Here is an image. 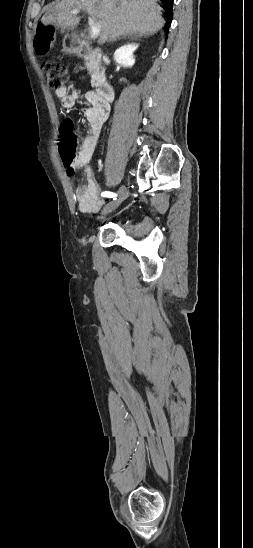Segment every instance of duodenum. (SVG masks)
Segmentation results:
<instances>
[{
  "mask_svg": "<svg viewBox=\"0 0 253 548\" xmlns=\"http://www.w3.org/2000/svg\"><path fill=\"white\" fill-rule=\"evenodd\" d=\"M72 44L80 57L95 63H99L102 60V52L99 49L91 48L82 41H74ZM96 92L101 98L108 102L114 99V88L104 77L98 79L96 83Z\"/></svg>",
  "mask_w": 253,
  "mask_h": 548,
  "instance_id": "410a0bca",
  "label": "duodenum"
}]
</instances>
